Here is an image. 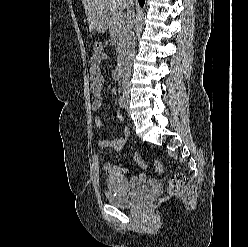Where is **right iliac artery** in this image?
<instances>
[{"label":"right iliac artery","instance_id":"right-iliac-artery-1","mask_svg":"<svg viewBox=\"0 0 248 247\" xmlns=\"http://www.w3.org/2000/svg\"><path fill=\"white\" fill-rule=\"evenodd\" d=\"M119 106L121 108H125L124 96H120V98H119Z\"/></svg>","mask_w":248,"mask_h":247}]
</instances>
